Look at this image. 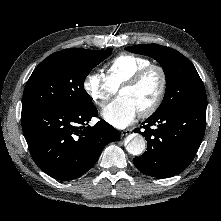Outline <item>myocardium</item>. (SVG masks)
Returning <instances> with one entry per match:
<instances>
[{"label":"myocardium","instance_id":"obj_1","mask_svg":"<svg viewBox=\"0 0 221 221\" xmlns=\"http://www.w3.org/2000/svg\"><path fill=\"white\" fill-rule=\"evenodd\" d=\"M152 71H157L161 78L160 89L155 100L144 110L139 112V116L146 118L154 114L159 107L162 105L168 88V77L165 69L157 64H149L136 73H134L130 78L125 80L119 87V93L123 88L132 87L138 85L145 77Z\"/></svg>","mask_w":221,"mask_h":221}]
</instances>
